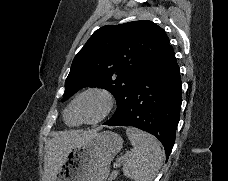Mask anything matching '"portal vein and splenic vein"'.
<instances>
[{"instance_id": "1", "label": "portal vein and splenic vein", "mask_w": 228, "mask_h": 181, "mask_svg": "<svg viewBox=\"0 0 228 181\" xmlns=\"http://www.w3.org/2000/svg\"><path fill=\"white\" fill-rule=\"evenodd\" d=\"M130 153H127V155H124V157H120V159H122V161H124V159H126V157H129ZM116 167H118L119 169L122 167L119 163H115Z\"/></svg>"}]
</instances>
